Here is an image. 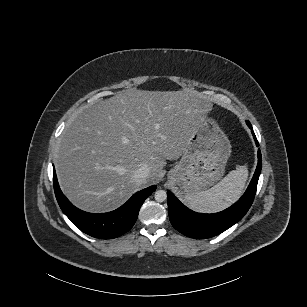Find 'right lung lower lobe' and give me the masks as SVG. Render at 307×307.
Wrapping results in <instances>:
<instances>
[{
  "mask_svg": "<svg viewBox=\"0 0 307 307\" xmlns=\"http://www.w3.org/2000/svg\"><path fill=\"white\" fill-rule=\"evenodd\" d=\"M53 184L56 199L64 214L81 231L100 239L116 238L130 230L138 217L141 205L156 189V186H151L135 193L124 205L112 212L92 214L76 208L63 195L55 169Z\"/></svg>",
  "mask_w": 307,
  "mask_h": 307,
  "instance_id": "obj_1",
  "label": "right lung lower lobe"
}]
</instances>
